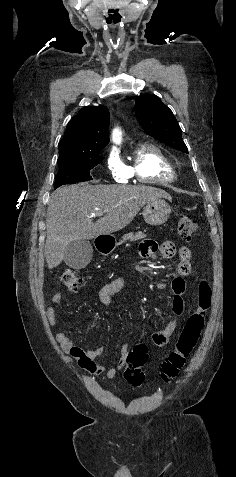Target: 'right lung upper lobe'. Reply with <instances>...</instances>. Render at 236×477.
Masks as SVG:
<instances>
[{
  "label": "right lung upper lobe",
  "mask_w": 236,
  "mask_h": 477,
  "mask_svg": "<svg viewBox=\"0 0 236 477\" xmlns=\"http://www.w3.org/2000/svg\"><path fill=\"white\" fill-rule=\"evenodd\" d=\"M109 119V111L103 105L81 109L67 125L58 145L60 156L57 162L102 150L109 143Z\"/></svg>",
  "instance_id": "right-lung-upper-lobe-1"
}]
</instances>
